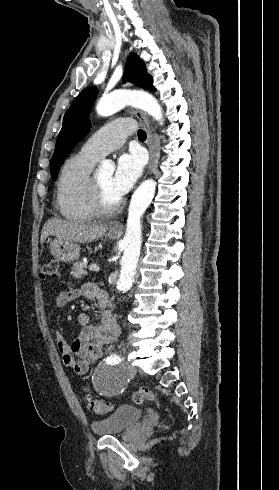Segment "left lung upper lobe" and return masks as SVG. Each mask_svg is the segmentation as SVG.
Instances as JSON below:
<instances>
[{"instance_id": "5c2ea615", "label": "left lung upper lobe", "mask_w": 279, "mask_h": 490, "mask_svg": "<svg viewBox=\"0 0 279 490\" xmlns=\"http://www.w3.org/2000/svg\"><path fill=\"white\" fill-rule=\"evenodd\" d=\"M127 81L144 89L155 90L152 77L145 72L144 62L135 53H132L126 62L123 83ZM96 96L97 89L88 87L74 99L66 111L50 164L53 180L56 179L59 164L90 131L88 114Z\"/></svg>"}]
</instances>
